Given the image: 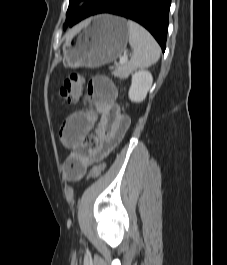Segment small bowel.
<instances>
[{"mask_svg":"<svg viewBox=\"0 0 227 265\" xmlns=\"http://www.w3.org/2000/svg\"><path fill=\"white\" fill-rule=\"evenodd\" d=\"M117 88L106 76H96L88 84L87 97L92 109L70 114L59 131L61 143L84 157L82 168L72 179L80 178L86 168L106 157L123 139L130 119L116 102Z\"/></svg>","mask_w":227,"mask_h":265,"instance_id":"1","label":"small bowel"}]
</instances>
